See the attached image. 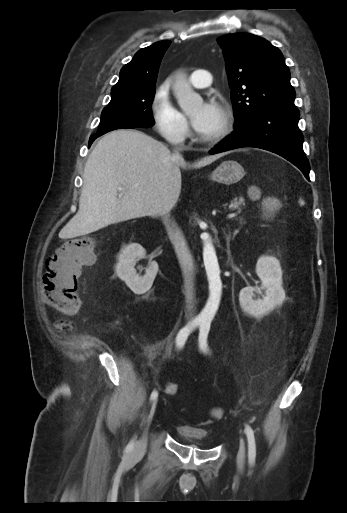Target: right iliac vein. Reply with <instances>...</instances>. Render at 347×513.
<instances>
[{"instance_id":"1","label":"right iliac vein","mask_w":347,"mask_h":513,"mask_svg":"<svg viewBox=\"0 0 347 513\" xmlns=\"http://www.w3.org/2000/svg\"><path fill=\"white\" fill-rule=\"evenodd\" d=\"M156 406H157V400H154L149 408V413H148L147 420H146L147 426L152 421V418H153L155 410H156ZM146 443H147L146 434H143V436L135 444L134 454L141 455L146 448Z\"/></svg>"}]
</instances>
